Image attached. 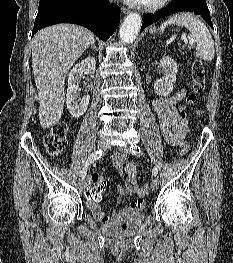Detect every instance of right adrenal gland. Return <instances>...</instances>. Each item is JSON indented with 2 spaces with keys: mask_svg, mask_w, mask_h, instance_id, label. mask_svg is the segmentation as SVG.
Listing matches in <instances>:
<instances>
[{
  "mask_svg": "<svg viewBox=\"0 0 233 263\" xmlns=\"http://www.w3.org/2000/svg\"><path fill=\"white\" fill-rule=\"evenodd\" d=\"M91 48H93V49H95V50H98V49H97V46L95 45V41L92 42Z\"/></svg>",
  "mask_w": 233,
  "mask_h": 263,
  "instance_id": "obj_1",
  "label": "right adrenal gland"
}]
</instances>
